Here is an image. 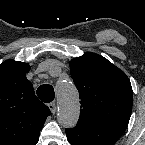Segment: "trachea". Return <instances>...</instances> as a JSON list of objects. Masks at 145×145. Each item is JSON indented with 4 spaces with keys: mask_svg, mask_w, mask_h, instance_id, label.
I'll return each mask as SVG.
<instances>
[{
    "mask_svg": "<svg viewBox=\"0 0 145 145\" xmlns=\"http://www.w3.org/2000/svg\"><path fill=\"white\" fill-rule=\"evenodd\" d=\"M38 97L45 103L51 102L54 97V89L51 85L45 84L41 85L36 91Z\"/></svg>",
    "mask_w": 145,
    "mask_h": 145,
    "instance_id": "1",
    "label": "trachea"
}]
</instances>
